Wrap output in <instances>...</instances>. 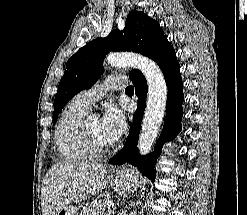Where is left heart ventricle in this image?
Instances as JSON below:
<instances>
[{
	"label": "left heart ventricle",
	"mask_w": 247,
	"mask_h": 215,
	"mask_svg": "<svg viewBox=\"0 0 247 215\" xmlns=\"http://www.w3.org/2000/svg\"><path fill=\"white\" fill-rule=\"evenodd\" d=\"M86 126L97 142L103 145L110 144L103 134L100 120L94 119L87 121Z\"/></svg>",
	"instance_id": "1"
}]
</instances>
